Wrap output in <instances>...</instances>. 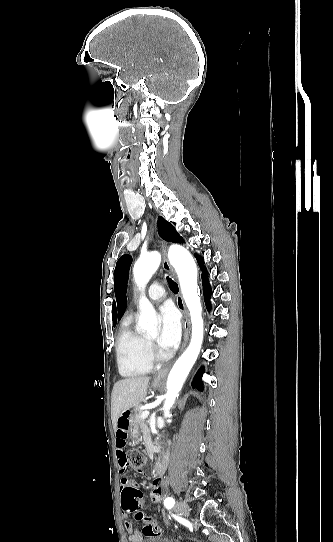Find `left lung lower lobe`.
<instances>
[{
    "instance_id": "left-lung-lower-lobe-1",
    "label": "left lung lower lobe",
    "mask_w": 333,
    "mask_h": 542,
    "mask_svg": "<svg viewBox=\"0 0 333 542\" xmlns=\"http://www.w3.org/2000/svg\"><path fill=\"white\" fill-rule=\"evenodd\" d=\"M195 256L197 258L199 266L202 267L201 269L203 271V273H202V282H203L204 300H205V304H206L207 309H210L209 299H210V296H211V288H210V285H209V282H208V273L205 270V268L203 267V258L198 256V255H195ZM202 373H203V370L200 369L197 372V374L195 375L194 380L192 382V387L198 389L199 391H203V384H202V379H201Z\"/></svg>"
}]
</instances>
